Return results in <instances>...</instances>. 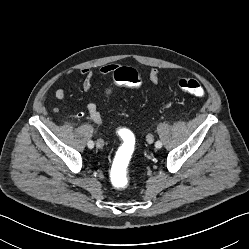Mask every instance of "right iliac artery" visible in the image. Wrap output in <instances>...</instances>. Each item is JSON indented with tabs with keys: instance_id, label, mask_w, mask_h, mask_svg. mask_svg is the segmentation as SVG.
<instances>
[{
	"instance_id": "82829eb1",
	"label": "right iliac artery",
	"mask_w": 249,
	"mask_h": 249,
	"mask_svg": "<svg viewBox=\"0 0 249 249\" xmlns=\"http://www.w3.org/2000/svg\"><path fill=\"white\" fill-rule=\"evenodd\" d=\"M88 147H89V148H93V147H94V142L90 140V141L88 142Z\"/></svg>"
}]
</instances>
